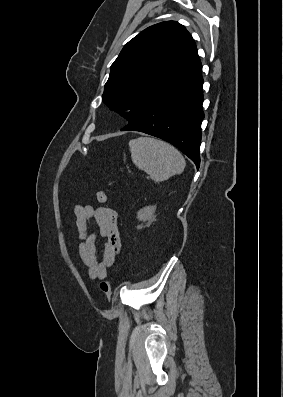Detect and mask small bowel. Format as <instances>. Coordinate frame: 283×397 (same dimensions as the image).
<instances>
[{
	"label": "small bowel",
	"instance_id": "obj_1",
	"mask_svg": "<svg viewBox=\"0 0 283 397\" xmlns=\"http://www.w3.org/2000/svg\"><path fill=\"white\" fill-rule=\"evenodd\" d=\"M74 214L80 240L78 251L81 260L87 268L90 278L104 279L121 249L117 213L111 208H94L88 204H77L74 207ZM93 220L99 228V235L105 239L101 260L97 256L96 235L89 232Z\"/></svg>",
	"mask_w": 283,
	"mask_h": 397
}]
</instances>
